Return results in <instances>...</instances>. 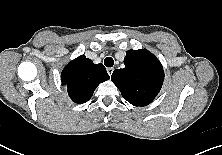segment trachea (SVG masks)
Instances as JSON below:
<instances>
[{"label": "trachea", "mask_w": 222, "mask_h": 155, "mask_svg": "<svg viewBox=\"0 0 222 155\" xmlns=\"http://www.w3.org/2000/svg\"><path fill=\"white\" fill-rule=\"evenodd\" d=\"M104 64L106 67H112L114 65V60L112 57H106L104 59Z\"/></svg>", "instance_id": "3493384b"}]
</instances>
